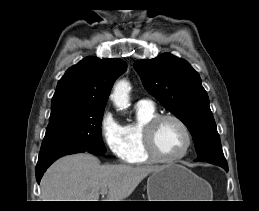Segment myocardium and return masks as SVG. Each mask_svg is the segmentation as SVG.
I'll return each mask as SVG.
<instances>
[{
  "mask_svg": "<svg viewBox=\"0 0 259 211\" xmlns=\"http://www.w3.org/2000/svg\"><path fill=\"white\" fill-rule=\"evenodd\" d=\"M165 120H172L176 122L182 129L185 138H186V145L182 152L174 157H164L162 156L156 148L155 144V134L157 127ZM142 139H143V146L146 154L152 161L163 162V163H174L182 158H184L188 152L190 151L193 138L192 134L186 125V123L178 116L174 114H158L152 119H150L142 129Z\"/></svg>",
  "mask_w": 259,
  "mask_h": 211,
  "instance_id": "f54148a6",
  "label": "myocardium"
}]
</instances>
